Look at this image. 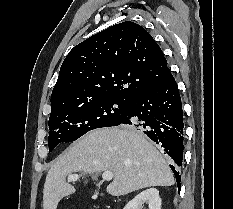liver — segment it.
Here are the masks:
<instances>
[{"mask_svg":"<svg viewBox=\"0 0 233 209\" xmlns=\"http://www.w3.org/2000/svg\"><path fill=\"white\" fill-rule=\"evenodd\" d=\"M105 171L113 173L106 191L117 197L175 183L165 159L143 133L132 127L102 128L89 132L58 157L46 176L43 209H56L62 198L75 193L67 176Z\"/></svg>","mask_w":233,"mask_h":209,"instance_id":"liver-1","label":"liver"}]
</instances>
